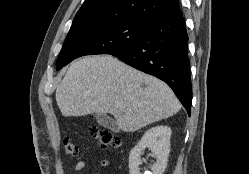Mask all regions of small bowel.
<instances>
[{"label": "small bowel", "instance_id": "obj_1", "mask_svg": "<svg viewBox=\"0 0 249 174\" xmlns=\"http://www.w3.org/2000/svg\"><path fill=\"white\" fill-rule=\"evenodd\" d=\"M86 164H87V160H85V159L78 161L75 164V166L73 167L71 174H79L84 169ZM110 165H111L110 161L106 160V159H103L99 162V166L102 168H108V167H110Z\"/></svg>", "mask_w": 249, "mask_h": 174}]
</instances>
